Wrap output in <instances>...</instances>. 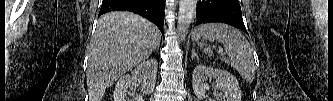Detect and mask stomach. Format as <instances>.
Masks as SVG:
<instances>
[{
  "label": "stomach",
  "mask_w": 333,
  "mask_h": 101,
  "mask_svg": "<svg viewBox=\"0 0 333 101\" xmlns=\"http://www.w3.org/2000/svg\"><path fill=\"white\" fill-rule=\"evenodd\" d=\"M198 45L200 46V48H204L207 44L204 41H202ZM206 49H208V48H205L204 50H206Z\"/></svg>",
  "instance_id": "0dacf381"
}]
</instances>
